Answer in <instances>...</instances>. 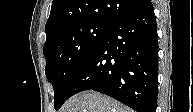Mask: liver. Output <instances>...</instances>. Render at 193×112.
<instances>
[{
    "label": "liver",
    "instance_id": "1",
    "mask_svg": "<svg viewBox=\"0 0 193 112\" xmlns=\"http://www.w3.org/2000/svg\"><path fill=\"white\" fill-rule=\"evenodd\" d=\"M61 112H133V110L106 95L90 90L68 99Z\"/></svg>",
    "mask_w": 193,
    "mask_h": 112
}]
</instances>
